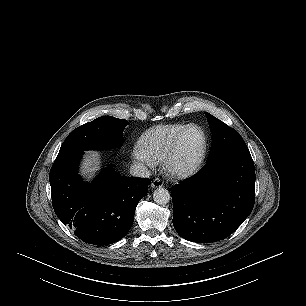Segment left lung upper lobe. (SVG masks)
Instances as JSON below:
<instances>
[{
	"label": "left lung upper lobe",
	"instance_id": "1",
	"mask_svg": "<svg viewBox=\"0 0 306 306\" xmlns=\"http://www.w3.org/2000/svg\"><path fill=\"white\" fill-rule=\"evenodd\" d=\"M212 132V147L208 160L219 155L249 151L240 134L228 125L215 118L213 115L205 112Z\"/></svg>",
	"mask_w": 306,
	"mask_h": 306
}]
</instances>
